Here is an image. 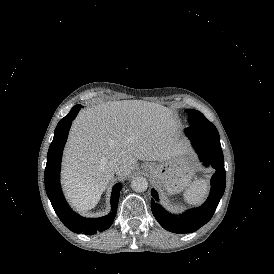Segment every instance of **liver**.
<instances>
[{"label":"liver","mask_w":274,"mask_h":274,"mask_svg":"<svg viewBox=\"0 0 274 274\" xmlns=\"http://www.w3.org/2000/svg\"><path fill=\"white\" fill-rule=\"evenodd\" d=\"M177 120L160 104L143 100L100 103L79 112L64 151L62 180L71 206L94 208L116 173L120 179L138 160H161L178 147Z\"/></svg>","instance_id":"liver-1"}]
</instances>
